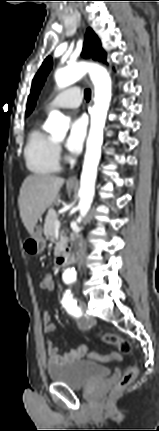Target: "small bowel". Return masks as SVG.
Listing matches in <instances>:
<instances>
[{
    "label": "small bowel",
    "mask_w": 159,
    "mask_h": 431,
    "mask_svg": "<svg viewBox=\"0 0 159 431\" xmlns=\"http://www.w3.org/2000/svg\"><path fill=\"white\" fill-rule=\"evenodd\" d=\"M52 273L46 270L40 281V289L42 291L48 292V285L50 283L49 278ZM43 329L45 332H51L54 330V324L51 321L50 315L46 312L43 316ZM88 352V348L84 345L78 346L64 354H58V347L52 340L47 341V353H48V363L49 364H65L78 359L83 358Z\"/></svg>",
    "instance_id": "c3829d8e"
}]
</instances>
